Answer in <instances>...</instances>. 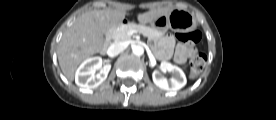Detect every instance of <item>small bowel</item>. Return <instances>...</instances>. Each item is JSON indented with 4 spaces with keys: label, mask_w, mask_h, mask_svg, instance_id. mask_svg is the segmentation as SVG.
<instances>
[{
    "label": "small bowel",
    "mask_w": 276,
    "mask_h": 120,
    "mask_svg": "<svg viewBox=\"0 0 276 120\" xmlns=\"http://www.w3.org/2000/svg\"><path fill=\"white\" fill-rule=\"evenodd\" d=\"M174 46V37L172 35L166 36L162 43L158 55L160 58H169L172 54V48ZM195 54V48L191 44H179L177 45L174 53V60L183 64L186 60Z\"/></svg>",
    "instance_id": "obj_1"
}]
</instances>
